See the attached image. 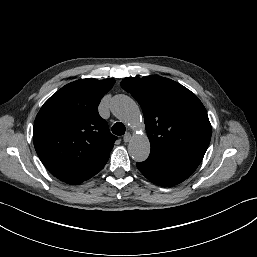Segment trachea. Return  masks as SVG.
I'll return each mask as SVG.
<instances>
[{
  "instance_id": "trachea-1",
  "label": "trachea",
  "mask_w": 257,
  "mask_h": 257,
  "mask_svg": "<svg viewBox=\"0 0 257 257\" xmlns=\"http://www.w3.org/2000/svg\"><path fill=\"white\" fill-rule=\"evenodd\" d=\"M112 132L115 135L121 136L125 133V126L121 122H117L112 126Z\"/></svg>"
}]
</instances>
